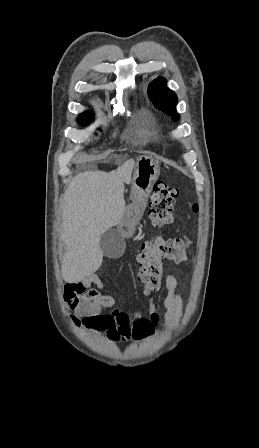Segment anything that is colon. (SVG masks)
Listing matches in <instances>:
<instances>
[{
	"mask_svg": "<svg viewBox=\"0 0 259 448\" xmlns=\"http://www.w3.org/2000/svg\"><path fill=\"white\" fill-rule=\"evenodd\" d=\"M178 189L166 182L154 185L149 205V218L155 227L168 226L173 222V207ZM197 211V206H194ZM188 244L182 238H156L144 243L137 256L138 280L145 293L159 289L165 263H182L187 256Z\"/></svg>",
	"mask_w": 259,
	"mask_h": 448,
	"instance_id": "5ec220e1",
	"label": "colon"
}]
</instances>
